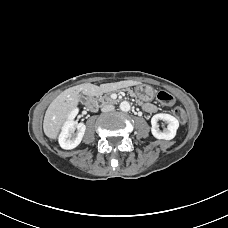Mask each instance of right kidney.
Segmentation results:
<instances>
[{"label": "right kidney", "instance_id": "right-kidney-1", "mask_svg": "<svg viewBox=\"0 0 228 228\" xmlns=\"http://www.w3.org/2000/svg\"><path fill=\"white\" fill-rule=\"evenodd\" d=\"M77 113L78 109L75 108L70 113L68 120L62 127V131L59 135V144L63 149L70 150L77 147L81 143L85 134V124L73 121Z\"/></svg>", "mask_w": 228, "mask_h": 228}]
</instances>
